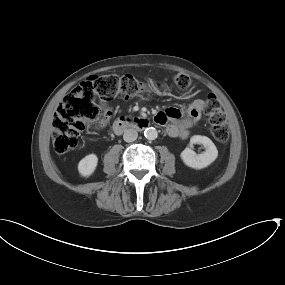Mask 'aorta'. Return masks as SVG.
Returning a JSON list of instances; mask_svg holds the SVG:
<instances>
[{
  "mask_svg": "<svg viewBox=\"0 0 285 285\" xmlns=\"http://www.w3.org/2000/svg\"><path fill=\"white\" fill-rule=\"evenodd\" d=\"M144 136L148 139V140H155L158 136V132L154 127H149L146 128L144 131Z\"/></svg>",
  "mask_w": 285,
  "mask_h": 285,
  "instance_id": "1",
  "label": "aorta"
}]
</instances>
